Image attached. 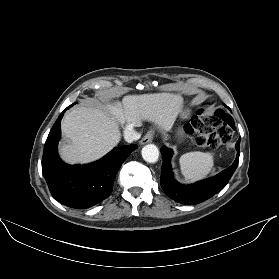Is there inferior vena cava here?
<instances>
[{
	"label": "inferior vena cava",
	"mask_w": 279,
	"mask_h": 279,
	"mask_svg": "<svg viewBox=\"0 0 279 279\" xmlns=\"http://www.w3.org/2000/svg\"><path fill=\"white\" fill-rule=\"evenodd\" d=\"M141 137V134L135 131V125L127 124L124 130V139L131 143L138 140Z\"/></svg>",
	"instance_id": "inferior-vena-cava-1"
}]
</instances>
